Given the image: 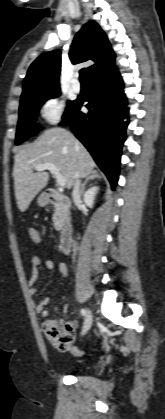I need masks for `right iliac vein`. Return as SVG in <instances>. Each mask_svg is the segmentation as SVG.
I'll use <instances>...</instances> for the list:
<instances>
[{
  "label": "right iliac vein",
  "instance_id": "1",
  "mask_svg": "<svg viewBox=\"0 0 165 419\" xmlns=\"http://www.w3.org/2000/svg\"><path fill=\"white\" fill-rule=\"evenodd\" d=\"M92 325V314L91 312L88 310L86 316H85V320H84V325H83V329H82V335H85L89 329L91 328Z\"/></svg>",
  "mask_w": 165,
  "mask_h": 419
}]
</instances>
